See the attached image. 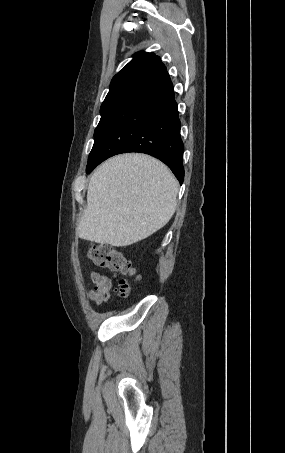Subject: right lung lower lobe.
<instances>
[{
    "mask_svg": "<svg viewBox=\"0 0 285 453\" xmlns=\"http://www.w3.org/2000/svg\"><path fill=\"white\" fill-rule=\"evenodd\" d=\"M180 127L173 84L165 71L140 87L122 105L86 171L90 173L113 155L141 152L164 162L182 184L184 144Z\"/></svg>",
    "mask_w": 285,
    "mask_h": 453,
    "instance_id": "1",
    "label": "right lung lower lobe"
}]
</instances>
